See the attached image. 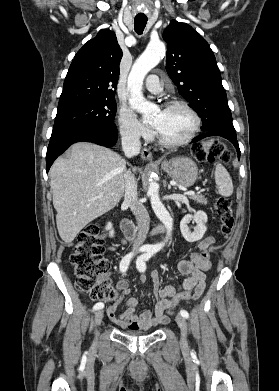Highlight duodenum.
<instances>
[{"mask_svg":"<svg viewBox=\"0 0 279 391\" xmlns=\"http://www.w3.org/2000/svg\"><path fill=\"white\" fill-rule=\"evenodd\" d=\"M120 227L125 237L129 240H133L136 237V228L133 222L127 218L121 220ZM166 227L163 224H158L154 227L151 234L155 235L164 232Z\"/></svg>","mask_w":279,"mask_h":391,"instance_id":"1","label":"duodenum"}]
</instances>
